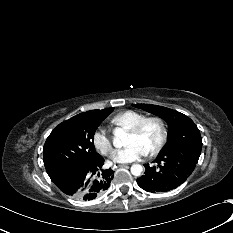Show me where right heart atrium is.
Returning a JSON list of instances; mask_svg holds the SVG:
<instances>
[{"mask_svg":"<svg viewBox=\"0 0 233 233\" xmlns=\"http://www.w3.org/2000/svg\"><path fill=\"white\" fill-rule=\"evenodd\" d=\"M95 148L104 155L113 151V142L111 136L104 129H97L92 137Z\"/></svg>","mask_w":233,"mask_h":233,"instance_id":"obj_1","label":"right heart atrium"}]
</instances>
